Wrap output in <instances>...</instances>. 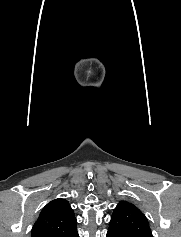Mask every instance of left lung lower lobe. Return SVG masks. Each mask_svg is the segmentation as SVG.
<instances>
[{
  "label": "left lung lower lobe",
  "instance_id": "left-lung-lower-lobe-1",
  "mask_svg": "<svg viewBox=\"0 0 181 237\" xmlns=\"http://www.w3.org/2000/svg\"><path fill=\"white\" fill-rule=\"evenodd\" d=\"M107 237H120V236L108 232Z\"/></svg>",
  "mask_w": 181,
  "mask_h": 237
}]
</instances>
